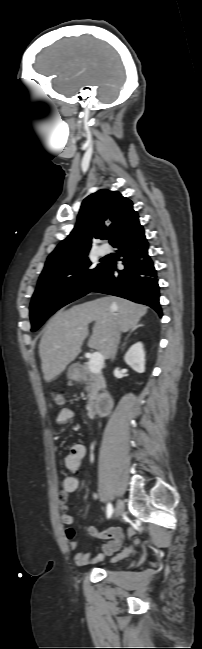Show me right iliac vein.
I'll list each match as a JSON object with an SVG mask.
<instances>
[{
    "label": "right iliac vein",
    "mask_w": 202,
    "mask_h": 649,
    "mask_svg": "<svg viewBox=\"0 0 202 649\" xmlns=\"http://www.w3.org/2000/svg\"><path fill=\"white\" fill-rule=\"evenodd\" d=\"M124 509V504L121 500L117 501L116 508H115V517L118 518L121 513L123 512Z\"/></svg>",
    "instance_id": "1"
}]
</instances>
